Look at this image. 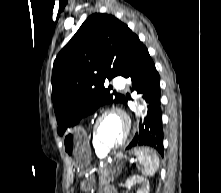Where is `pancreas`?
Here are the masks:
<instances>
[{
	"label": "pancreas",
	"instance_id": "obj_1",
	"mask_svg": "<svg viewBox=\"0 0 221 193\" xmlns=\"http://www.w3.org/2000/svg\"><path fill=\"white\" fill-rule=\"evenodd\" d=\"M116 176H117V173L114 168H112L108 165L103 166L101 168L100 174H99L100 187L113 181Z\"/></svg>",
	"mask_w": 221,
	"mask_h": 193
}]
</instances>
